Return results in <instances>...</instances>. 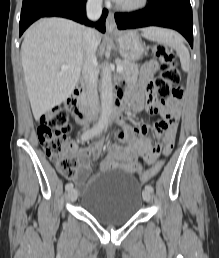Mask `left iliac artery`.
Here are the masks:
<instances>
[{
	"label": "left iliac artery",
	"instance_id": "obj_1",
	"mask_svg": "<svg viewBox=\"0 0 219 258\" xmlns=\"http://www.w3.org/2000/svg\"><path fill=\"white\" fill-rule=\"evenodd\" d=\"M145 190H148V191L152 192L153 191V187L151 185H146L145 186Z\"/></svg>",
	"mask_w": 219,
	"mask_h": 258
}]
</instances>
